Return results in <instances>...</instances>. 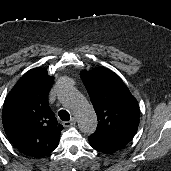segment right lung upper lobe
I'll list each match as a JSON object with an SVG mask.
<instances>
[{"instance_id":"cb5924a9","label":"right lung upper lobe","mask_w":171,"mask_h":171,"mask_svg":"<svg viewBox=\"0 0 171 171\" xmlns=\"http://www.w3.org/2000/svg\"><path fill=\"white\" fill-rule=\"evenodd\" d=\"M54 77L44 68L25 73L7 95L2 122L8 139L23 154L35 158L50 154L59 143L62 125L48 105Z\"/></svg>"}]
</instances>
